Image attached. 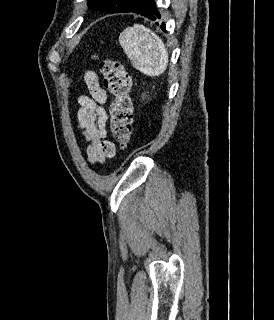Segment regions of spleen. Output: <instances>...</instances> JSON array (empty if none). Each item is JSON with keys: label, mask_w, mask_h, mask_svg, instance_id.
I'll return each mask as SVG.
<instances>
[{"label": "spleen", "mask_w": 274, "mask_h": 320, "mask_svg": "<svg viewBox=\"0 0 274 320\" xmlns=\"http://www.w3.org/2000/svg\"><path fill=\"white\" fill-rule=\"evenodd\" d=\"M119 44L131 60L133 68L145 76H160L168 66V54L159 36L154 32L134 24L119 36Z\"/></svg>", "instance_id": "spleen-1"}]
</instances>
